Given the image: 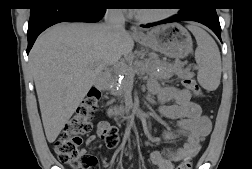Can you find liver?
Instances as JSON below:
<instances>
[{
    "label": "liver",
    "instance_id": "liver-1",
    "mask_svg": "<svg viewBox=\"0 0 252 169\" xmlns=\"http://www.w3.org/2000/svg\"><path fill=\"white\" fill-rule=\"evenodd\" d=\"M134 41L126 31L108 35L104 24L60 23L43 32L29 62L42 122L53 143L102 71L128 57Z\"/></svg>",
    "mask_w": 252,
    "mask_h": 169
}]
</instances>
